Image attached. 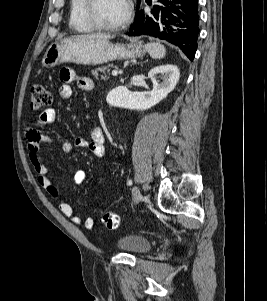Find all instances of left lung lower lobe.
Segmentation results:
<instances>
[{"label":"left lung lower lobe","instance_id":"1","mask_svg":"<svg viewBox=\"0 0 267 301\" xmlns=\"http://www.w3.org/2000/svg\"><path fill=\"white\" fill-rule=\"evenodd\" d=\"M160 6H153L151 13L136 12L129 36L148 35L167 40L178 46L185 55L194 59L197 48L198 0H158Z\"/></svg>","mask_w":267,"mask_h":301}]
</instances>
